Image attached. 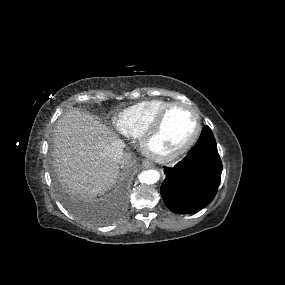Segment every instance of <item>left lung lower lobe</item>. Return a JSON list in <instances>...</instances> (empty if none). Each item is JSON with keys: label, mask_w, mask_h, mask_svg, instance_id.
I'll list each match as a JSON object with an SVG mask.
<instances>
[{"label": "left lung lower lobe", "mask_w": 285, "mask_h": 285, "mask_svg": "<svg viewBox=\"0 0 285 285\" xmlns=\"http://www.w3.org/2000/svg\"><path fill=\"white\" fill-rule=\"evenodd\" d=\"M164 173L160 192L172 212L190 214L209 204L217 193L222 173L211 129L205 126L189 154L173 168L164 167Z\"/></svg>", "instance_id": "left-lung-lower-lobe-1"}]
</instances>
